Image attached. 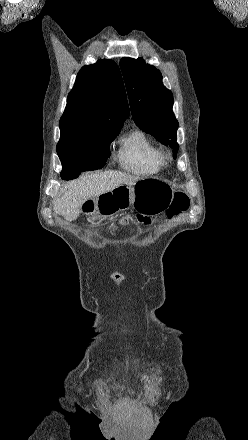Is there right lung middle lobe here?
<instances>
[{
    "label": "right lung middle lobe",
    "mask_w": 248,
    "mask_h": 440,
    "mask_svg": "<svg viewBox=\"0 0 248 440\" xmlns=\"http://www.w3.org/2000/svg\"><path fill=\"white\" fill-rule=\"evenodd\" d=\"M120 131L94 133L70 146L57 148L63 170L62 179L78 177L81 172L102 168L110 156L111 143Z\"/></svg>",
    "instance_id": "obj_1"
}]
</instances>
